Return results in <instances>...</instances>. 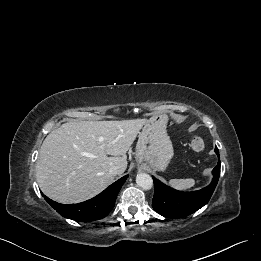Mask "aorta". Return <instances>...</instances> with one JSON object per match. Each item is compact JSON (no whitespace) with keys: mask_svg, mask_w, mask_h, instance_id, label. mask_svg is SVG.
Masks as SVG:
<instances>
[{"mask_svg":"<svg viewBox=\"0 0 261 261\" xmlns=\"http://www.w3.org/2000/svg\"><path fill=\"white\" fill-rule=\"evenodd\" d=\"M136 183L144 190H149L153 187L152 177L147 173H139L136 177Z\"/></svg>","mask_w":261,"mask_h":261,"instance_id":"762f6f07","label":"aorta"}]
</instances>
